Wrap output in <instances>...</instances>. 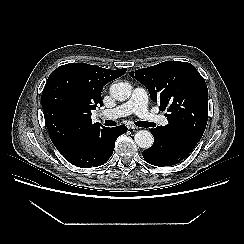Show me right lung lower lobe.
<instances>
[{
    "label": "right lung lower lobe",
    "instance_id": "right-lung-lower-lobe-1",
    "mask_svg": "<svg viewBox=\"0 0 244 244\" xmlns=\"http://www.w3.org/2000/svg\"><path fill=\"white\" fill-rule=\"evenodd\" d=\"M127 131L126 126L106 128L94 138L71 143L60 153L73 165L97 167L111 157L116 139Z\"/></svg>",
    "mask_w": 244,
    "mask_h": 244
}]
</instances>
